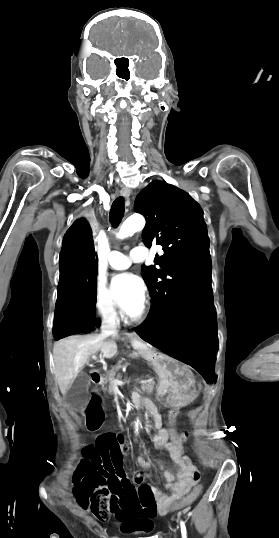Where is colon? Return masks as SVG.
<instances>
[{
	"instance_id": "1",
	"label": "colon",
	"mask_w": 279,
	"mask_h": 538,
	"mask_svg": "<svg viewBox=\"0 0 279 538\" xmlns=\"http://www.w3.org/2000/svg\"><path fill=\"white\" fill-rule=\"evenodd\" d=\"M187 433L178 435L182 444ZM128 444L121 433L106 432L94 444L83 448V460L74 477L75 494L83 508H89L98 519L111 514L128 518L154 517L157 511L168 512L192 503L200 494L201 486H195L188 494L159 509L155 488L144 483L141 474L130 479L123 468V457ZM183 476L197 483L200 473L195 457L182 451L180 456Z\"/></svg>"
}]
</instances>
